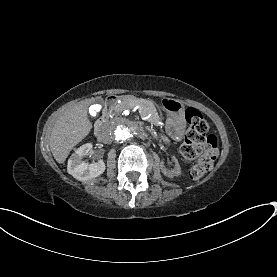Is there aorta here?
I'll return each instance as SVG.
<instances>
[{
  "label": "aorta",
  "instance_id": "obj_1",
  "mask_svg": "<svg viewBox=\"0 0 277 277\" xmlns=\"http://www.w3.org/2000/svg\"><path fill=\"white\" fill-rule=\"evenodd\" d=\"M113 140L117 143H131L142 137L144 124L134 117H119L110 123Z\"/></svg>",
  "mask_w": 277,
  "mask_h": 277
}]
</instances>
